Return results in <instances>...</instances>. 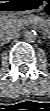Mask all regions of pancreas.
<instances>
[{
    "instance_id": "cf45deb5",
    "label": "pancreas",
    "mask_w": 50,
    "mask_h": 111,
    "mask_svg": "<svg viewBox=\"0 0 50 111\" xmlns=\"http://www.w3.org/2000/svg\"><path fill=\"white\" fill-rule=\"evenodd\" d=\"M29 22H32V17H26V18L13 17L5 20L3 22V26L5 28L20 29Z\"/></svg>"
}]
</instances>
